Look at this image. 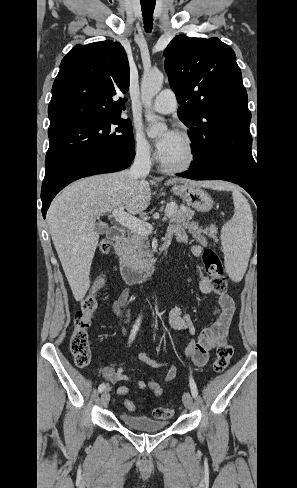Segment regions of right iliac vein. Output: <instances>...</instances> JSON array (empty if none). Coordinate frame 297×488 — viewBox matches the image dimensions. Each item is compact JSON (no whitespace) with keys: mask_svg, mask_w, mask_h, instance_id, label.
Listing matches in <instances>:
<instances>
[{"mask_svg":"<svg viewBox=\"0 0 297 488\" xmlns=\"http://www.w3.org/2000/svg\"><path fill=\"white\" fill-rule=\"evenodd\" d=\"M109 400H110V394L107 391H105L101 395V399H100L101 405L106 406L109 403Z\"/></svg>","mask_w":297,"mask_h":488,"instance_id":"right-iliac-vein-1","label":"right iliac vein"}]
</instances>
